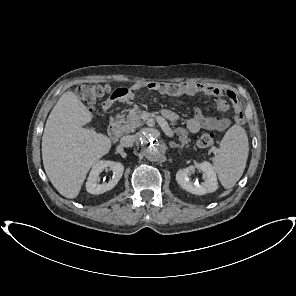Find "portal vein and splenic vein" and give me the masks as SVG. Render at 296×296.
<instances>
[{"mask_svg":"<svg viewBox=\"0 0 296 296\" xmlns=\"http://www.w3.org/2000/svg\"><path fill=\"white\" fill-rule=\"evenodd\" d=\"M159 124L162 128V130L164 131V133L168 136V137H173L174 133L172 131V129L169 127L168 123L164 120L161 119L159 121ZM216 151V150H215Z\"/></svg>","mask_w":296,"mask_h":296,"instance_id":"portal-vein-and-splenic-vein-1","label":"portal vein and splenic vein"}]
</instances>
